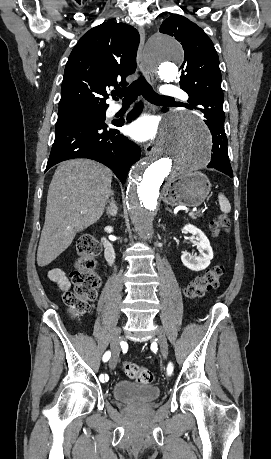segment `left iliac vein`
<instances>
[{"label": "left iliac vein", "mask_w": 271, "mask_h": 459, "mask_svg": "<svg viewBox=\"0 0 271 459\" xmlns=\"http://www.w3.org/2000/svg\"><path fill=\"white\" fill-rule=\"evenodd\" d=\"M157 339L160 343V349H161V354L162 358L167 359L168 357V343L166 336L164 334V329L163 328H158L156 331Z\"/></svg>", "instance_id": "4c4485c4"}]
</instances>
